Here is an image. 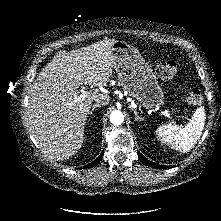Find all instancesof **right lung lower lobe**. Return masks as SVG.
Instances as JSON below:
<instances>
[{"mask_svg":"<svg viewBox=\"0 0 221 221\" xmlns=\"http://www.w3.org/2000/svg\"><path fill=\"white\" fill-rule=\"evenodd\" d=\"M102 156H103V153H101L100 156L97 159H95L92 163L86 165L85 168H89V167L95 166L97 163H99V161L101 160Z\"/></svg>","mask_w":221,"mask_h":221,"instance_id":"98d812e1","label":"right lung lower lobe"}]
</instances>
